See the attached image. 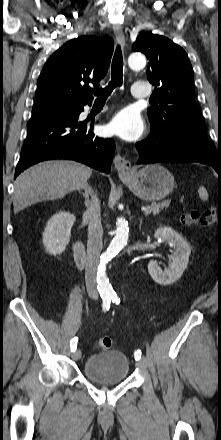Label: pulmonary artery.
I'll use <instances>...</instances> for the list:
<instances>
[{"label":"pulmonary artery","instance_id":"pulmonary-artery-1","mask_svg":"<svg viewBox=\"0 0 221 440\" xmlns=\"http://www.w3.org/2000/svg\"><path fill=\"white\" fill-rule=\"evenodd\" d=\"M132 95L137 98H148L150 95V90L147 88L146 84L142 82H135L131 88Z\"/></svg>","mask_w":221,"mask_h":440}]
</instances>
